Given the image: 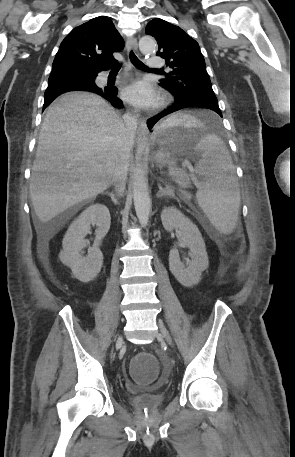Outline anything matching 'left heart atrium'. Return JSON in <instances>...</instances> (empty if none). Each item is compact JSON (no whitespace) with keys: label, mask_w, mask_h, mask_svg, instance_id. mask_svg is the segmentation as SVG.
<instances>
[{"label":"left heart atrium","mask_w":295,"mask_h":457,"mask_svg":"<svg viewBox=\"0 0 295 457\" xmlns=\"http://www.w3.org/2000/svg\"><path fill=\"white\" fill-rule=\"evenodd\" d=\"M124 98L138 108H151L160 101L157 89L146 80H137L124 90Z\"/></svg>","instance_id":"39dd6f15"}]
</instances>
